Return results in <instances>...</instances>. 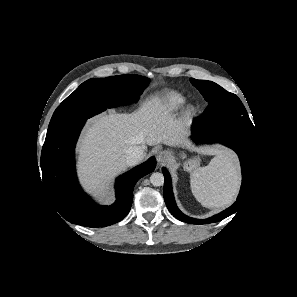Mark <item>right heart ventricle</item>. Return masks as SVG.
Instances as JSON below:
<instances>
[{
    "instance_id": "e07e8e85",
    "label": "right heart ventricle",
    "mask_w": 297,
    "mask_h": 297,
    "mask_svg": "<svg viewBox=\"0 0 297 297\" xmlns=\"http://www.w3.org/2000/svg\"><path fill=\"white\" fill-rule=\"evenodd\" d=\"M186 103V99L177 93H169L162 99V110L176 111L181 109Z\"/></svg>"
}]
</instances>
